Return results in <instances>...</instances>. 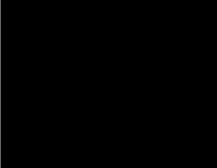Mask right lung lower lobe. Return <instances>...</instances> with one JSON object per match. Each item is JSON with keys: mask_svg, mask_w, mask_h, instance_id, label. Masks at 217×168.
Here are the masks:
<instances>
[{"mask_svg": "<svg viewBox=\"0 0 217 168\" xmlns=\"http://www.w3.org/2000/svg\"><path fill=\"white\" fill-rule=\"evenodd\" d=\"M94 109L89 100L71 96L30 116L34 125L50 140L73 143L87 134Z\"/></svg>", "mask_w": 217, "mask_h": 168, "instance_id": "obj_1", "label": "right lung lower lobe"}]
</instances>
